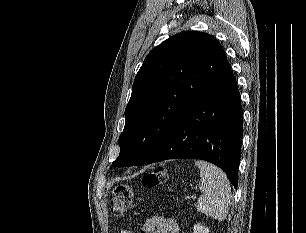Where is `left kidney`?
<instances>
[{"instance_id":"obj_1","label":"left kidney","mask_w":306,"mask_h":233,"mask_svg":"<svg viewBox=\"0 0 306 233\" xmlns=\"http://www.w3.org/2000/svg\"><path fill=\"white\" fill-rule=\"evenodd\" d=\"M193 233H209V228L201 224H196L193 227Z\"/></svg>"}]
</instances>
